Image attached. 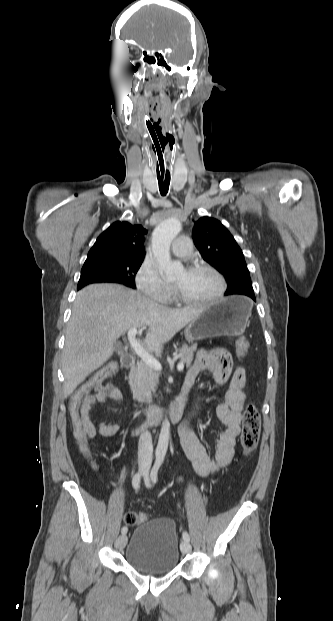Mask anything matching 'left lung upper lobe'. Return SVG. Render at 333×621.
<instances>
[{
	"label": "left lung upper lobe",
	"instance_id": "obj_1",
	"mask_svg": "<svg viewBox=\"0 0 333 621\" xmlns=\"http://www.w3.org/2000/svg\"><path fill=\"white\" fill-rule=\"evenodd\" d=\"M193 240L203 259L226 277L225 295L255 297L244 255L219 220L207 216L198 219L194 224Z\"/></svg>",
	"mask_w": 333,
	"mask_h": 621
}]
</instances>
